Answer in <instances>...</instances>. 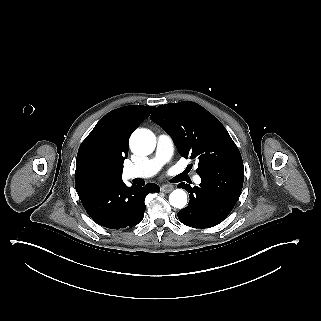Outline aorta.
Returning <instances> with one entry per match:
<instances>
[{
	"instance_id": "obj_1",
	"label": "aorta",
	"mask_w": 321,
	"mask_h": 321,
	"mask_svg": "<svg viewBox=\"0 0 321 321\" xmlns=\"http://www.w3.org/2000/svg\"><path fill=\"white\" fill-rule=\"evenodd\" d=\"M156 147V137L148 129H138L130 138L131 151L136 155H148ZM169 202L175 208L182 209L187 204V194L182 189H176L169 195Z\"/></svg>"
}]
</instances>
